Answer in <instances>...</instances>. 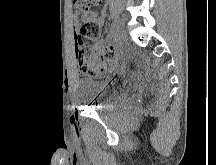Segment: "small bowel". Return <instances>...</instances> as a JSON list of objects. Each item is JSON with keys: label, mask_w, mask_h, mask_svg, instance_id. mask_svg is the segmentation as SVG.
I'll use <instances>...</instances> for the list:
<instances>
[{"label": "small bowel", "mask_w": 216, "mask_h": 165, "mask_svg": "<svg viewBox=\"0 0 216 165\" xmlns=\"http://www.w3.org/2000/svg\"><path fill=\"white\" fill-rule=\"evenodd\" d=\"M88 18L95 22L96 24H98L99 26L103 24L104 22V10L101 9V10H96V11H92ZM78 23H77V19H76V23H75V27H77ZM75 32V31H74ZM76 35V33H75ZM94 50L97 52V53H105V52H108L112 55V57H114V52L112 49H107L105 47V44L103 41H98L95 45H94ZM113 59V58H112ZM88 86H89V83L88 82H85L83 85H82V91L84 93H86L87 95H89V89H88Z\"/></svg>", "instance_id": "obj_1"}]
</instances>
